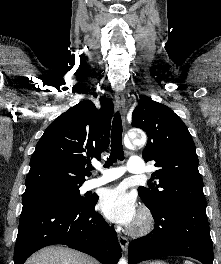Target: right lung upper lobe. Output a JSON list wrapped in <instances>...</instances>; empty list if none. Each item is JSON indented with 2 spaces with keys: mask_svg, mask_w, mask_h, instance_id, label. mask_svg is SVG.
I'll list each match as a JSON object with an SVG mask.
<instances>
[{
  "mask_svg": "<svg viewBox=\"0 0 221 264\" xmlns=\"http://www.w3.org/2000/svg\"><path fill=\"white\" fill-rule=\"evenodd\" d=\"M114 105L101 101L98 110L84 100L56 118L38 141L30 160L26 189L54 182L83 183L85 165L109 146L110 124Z\"/></svg>",
  "mask_w": 221,
  "mask_h": 264,
  "instance_id": "cb5924a9",
  "label": "right lung upper lobe"
}]
</instances>
